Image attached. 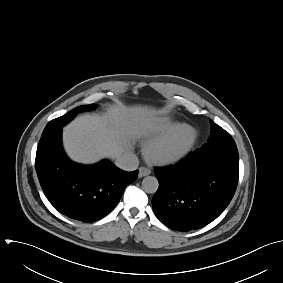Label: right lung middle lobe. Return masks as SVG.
Masks as SVG:
<instances>
[{"label":"right lung middle lobe","instance_id":"1","mask_svg":"<svg viewBox=\"0 0 283 283\" xmlns=\"http://www.w3.org/2000/svg\"><path fill=\"white\" fill-rule=\"evenodd\" d=\"M96 108L95 104H91V105H83V106H79L77 108L72 109L71 111H69L68 113H66L65 115L53 119L51 120L45 127L44 131L42 134L49 132L55 128L58 127H63L65 124H67L73 117H75L76 114H78L81 111H85V110H93Z\"/></svg>","mask_w":283,"mask_h":283}]
</instances>
